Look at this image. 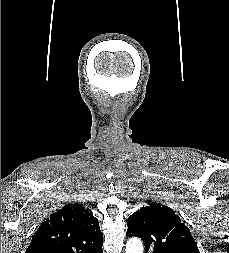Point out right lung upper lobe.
I'll list each match as a JSON object with an SVG mask.
<instances>
[{
	"instance_id": "right-lung-upper-lobe-1",
	"label": "right lung upper lobe",
	"mask_w": 229,
	"mask_h": 253,
	"mask_svg": "<svg viewBox=\"0 0 229 253\" xmlns=\"http://www.w3.org/2000/svg\"><path fill=\"white\" fill-rule=\"evenodd\" d=\"M102 240L98 219L73 203L41 224L25 253H99Z\"/></svg>"
}]
</instances>
